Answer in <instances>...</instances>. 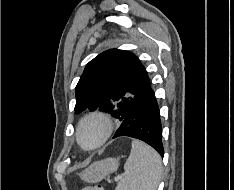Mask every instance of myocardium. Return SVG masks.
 <instances>
[{
	"label": "myocardium",
	"instance_id": "1",
	"mask_svg": "<svg viewBox=\"0 0 234 190\" xmlns=\"http://www.w3.org/2000/svg\"><path fill=\"white\" fill-rule=\"evenodd\" d=\"M92 123H96L101 127V136L100 138L92 145H85L81 140V134L83 129ZM113 131V123L111 118L100 111H94L87 115H85L81 121L79 122L77 129H76V140L78 144L84 149V150H95L99 147H101L111 136Z\"/></svg>",
	"mask_w": 234,
	"mask_h": 190
}]
</instances>
